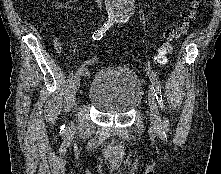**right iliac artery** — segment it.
Wrapping results in <instances>:
<instances>
[{
	"label": "right iliac artery",
	"instance_id": "82829eb1",
	"mask_svg": "<svg viewBox=\"0 0 221 174\" xmlns=\"http://www.w3.org/2000/svg\"><path fill=\"white\" fill-rule=\"evenodd\" d=\"M113 23H114L113 20H108V21L102 26V28H101L100 30H97L96 32L93 33L92 38H93L94 40H100V39L103 37L104 33L113 25ZM78 72H79L80 74H82L83 76H88V75H89V72H88V70H87L86 68H80V69L78 70Z\"/></svg>",
	"mask_w": 221,
	"mask_h": 174
}]
</instances>
